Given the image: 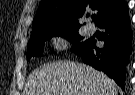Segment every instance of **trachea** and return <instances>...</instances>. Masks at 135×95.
I'll use <instances>...</instances> for the list:
<instances>
[{"mask_svg": "<svg viewBox=\"0 0 135 95\" xmlns=\"http://www.w3.org/2000/svg\"><path fill=\"white\" fill-rule=\"evenodd\" d=\"M92 19L95 20V19H96V15H93V16H92Z\"/></svg>", "mask_w": 135, "mask_h": 95, "instance_id": "obj_1", "label": "trachea"}]
</instances>
